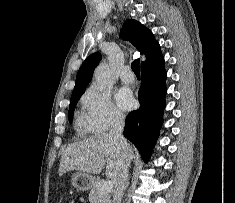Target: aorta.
I'll list each match as a JSON object with an SVG mask.
<instances>
[{"label":"aorta","instance_id":"1","mask_svg":"<svg viewBox=\"0 0 235 203\" xmlns=\"http://www.w3.org/2000/svg\"><path fill=\"white\" fill-rule=\"evenodd\" d=\"M94 77L100 89H105L112 86L111 70L106 62L98 65L95 69Z\"/></svg>","mask_w":235,"mask_h":203}]
</instances>
